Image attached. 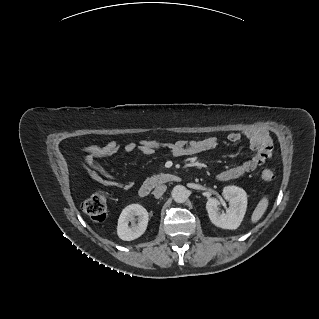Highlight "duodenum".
Here are the masks:
<instances>
[{
	"label": "duodenum",
	"instance_id": "1",
	"mask_svg": "<svg viewBox=\"0 0 319 319\" xmlns=\"http://www.w3.org/2000/svg\"><path fill=\"white\" fill-rule=\"evenodd\" d=\"M179 177L169 173H159L148 177L139 187L138 194L140 197L148 196L151 191L162 184L176 182Z\"/></svg>",
	"mask_w": 319,
	"mask_h": 319
}]
</instances>
